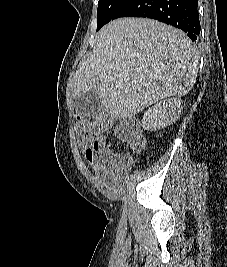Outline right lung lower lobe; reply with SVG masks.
Listing matches in <instances>:
<instances>
[{
  "label": "right lung lower lobe",
  "mask_w": 227,
  "mask_h": 267,
  "mask_svg": "<svg viewBox=\"0 0 227 267\" xmlns=\"http://www.w3.org/2000/svg\"><path fill=\"white\" fill-rule=\"evenodd\" d=\"M120 17H145L172 25L196 41L200 34L198 0H128L112 20Z\"/></svg>",
  "instance_id": "1"
}]
</instances>
